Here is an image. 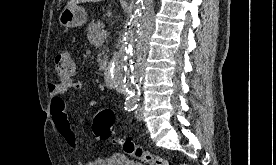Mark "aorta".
Segmentation results:
<instances>
[{
	"instance_id": "obj_1",
	"label": "aorta",
	"mask_w": 276,
	"mask_h": 165,
	"mask_svg": "<svg viewBox=\"0 0 276 165\" xmlns=\"http://www.w3.org/2000/svg\"><path fill=\"white\" fill-rule=\"evenodd\" d=\"M154 25L153 0H137L126 26L119 51L111 60L108 78L111 85L125 91L130 101H137L148 50V38Z\"/></svg>"
}]
</instances>
